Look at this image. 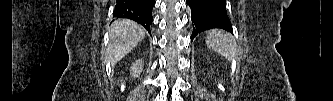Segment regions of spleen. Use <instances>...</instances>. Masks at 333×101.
Segmentation results:
<instances>
[{
	"mask_svg": "<svg viewBox=\"0 0 333 101\" xmlns=\"http://www.w3.org/2000/svg\"><path fill=\"white\" fill-rule=\"evenodd\" d=\"M205 42L209 49L223 55L229 61L236 59L238 55V46L234 37L223 30L215 29L209 32Z\"/></svg>",
	"mask_w": 333,
	"mask_h": 101,
	"instance_id": "3e777b00",
	"label": "spleen"
}]
</instances>
